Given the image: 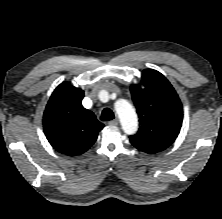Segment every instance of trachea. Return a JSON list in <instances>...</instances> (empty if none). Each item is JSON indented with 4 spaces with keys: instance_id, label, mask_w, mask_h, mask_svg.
<instances>
[{
    "instance_id": "obj_1",
    "label": "trachea",
    "mask_w": 222,
    "mask_h": 219,
    "mask_svg": "<svg viewBox=\"0 0 222 219\" xmlns=\"http://www.w3.org/2000/svg\"><path fill=\"white\" fill-rule=\"evenodd\" d=\"M100 119H101L102 121L112 120V119H114V113H113L112 110H110L109 108H105V109L102 111V114H101Z\"/></svg>"
}]
</instances>
